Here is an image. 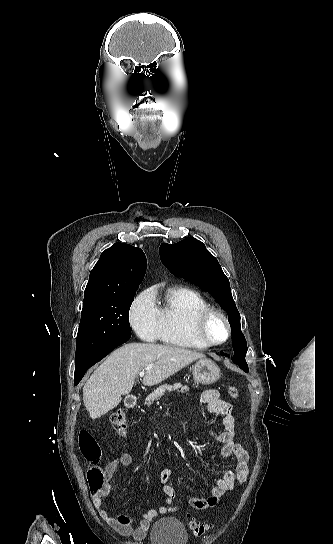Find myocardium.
Segmentation results:
<instances>
[{
	"instance_id": "f54148a6",
	"label": "myocardium",
	"mask_w": 333,
	"mask_h": 544,
	"mask_svg": "<svg viewBox=\"0 0 333 544\" xmlns=\"http://www.w3.org/2000/svg\"><path fill=\"white\" fill-rule=\"evenodd\" d=\"M213 317L220 318L225 324L227 335L222 341L213 340L208 333V326ZM195 332L197 338L203 344H205L207 347H213L225 344L231 337L232 328L228 317L222 310L215 307H209L198 315L195 323Z\"/></svg>"
}]
</instances>
